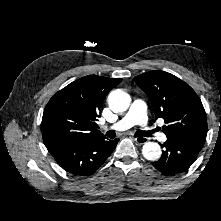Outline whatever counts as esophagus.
Here are the masks:
<instances>
[{
  "label": "esophagus",
  "mask_w": 221,
  "mask_h": 221,
  "mask_svg": "<svg viewBox=\"0 0 221 221\" xmlns=\"http://www.w3.org/2000/svg\"><path fill=\"white\" fill-rule=\"evenodd\" d=\"M133 140L138 144H145L148 141L146 137H139V136L133 137Z\"/></svg>",
  "instance_id": "obj_1"
}]
</instances>
